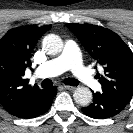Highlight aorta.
<instances>
[{
  "label": "aorta",
  "instance_id": "aorta-1",
  "mask_svg": "<svg viewBox=\"0 0 133 133\" xmlns=\"http://www.w3.org/2000/svg\"><path fill=\"white\" fill-rule=\"evenodd\" d=\"M42 46L47 54L56 55L61 52L63 43L58 35L49 34L43 39ZM73 97L76 103L87 106L92 101V92L87 87H78L75 89Z\"/></svg>",
  "mask_w": 133,
  "mask_h": 133
}]
</instances>
